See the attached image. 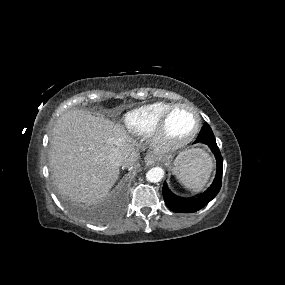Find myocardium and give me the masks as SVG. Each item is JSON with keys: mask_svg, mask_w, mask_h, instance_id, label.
Segmentation results:
<instances>
[{"mask_svg": "<svg viewBox=\"0 0 285 285\" xmlns=\"http://www.w3.org/2000/svg\"><path fill=\"white\" fill-rule=\"evenodd\" d=\"M187 110L196 117L194 129L181 139H172L167 134V124L174 112L177 110ZM202 120L199 112L187 104H174L161 117L155 129L151 133V146L157 152L168 153L183 148L192 142L201 130Z\"/></svg>", "mask_w": 285, "mask_h": 285, "instance_id": "f54148a6", "label": "myocardium"}]
</instances>
